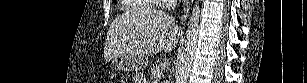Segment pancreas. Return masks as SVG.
Here are the masks:
<instances>
[{"instance_id":"pancreas-1","label":"pancreas","mask_w":307,"mask_h":83,"mask_svg":"<svg viewBox=\"0 0 307 83\" xmlns=\"http://www.w3.org/2000/svg\"><path fill=\"white\" fill-rule=\"evenodd\" d=\"M160 73V66H153L149 72L151 78H155Z\"/></svg>"}]
</instances>
